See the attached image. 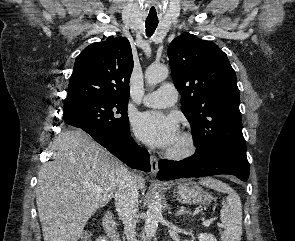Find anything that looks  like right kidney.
<instances>
[{
  "label": "right kidney",
  "mask_w": 295,
  "mask_h": 241,
  "mask_svg": "<svg viewBox=\"0 0 295 241\" xmlns=\"http://www.w3.org/2000/svg\"><path fill=\"white\" fill-rule=\"evenodd\" d=\"M96 241H107V239L105 237H99V239H97Z\"/></svg>",
  "instance_id": "right-kidney-1"
}]
</instances>
